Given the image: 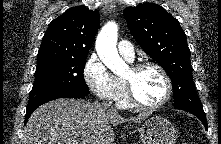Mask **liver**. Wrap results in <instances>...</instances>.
Here are the masks:
<instances>
[{
    "label": "liver",
    "instance_id": "6515ba94",
    "mask_svg": "<svg viewBox=\"0 0 221 144\" xmlns=\"http://www.w3.org/2000/svg\"><path fill=\"white\" fill-rule=\"evenodd\" d=\"M147 117L139 114L128 120L141 123ZM125 120L99 103L56 99L32 113L23 131V144H112V125Z\"/></svg>",
    "mask_w": 221,
    "mask_h": 144
}]
</instances>
